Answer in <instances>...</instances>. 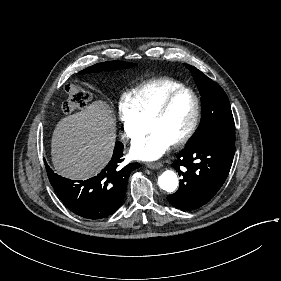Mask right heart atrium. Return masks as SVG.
<instances>
[{
    "label": "right heart atrium",
    "mask_w": 281,
    "mask_h": 281,
    "mask_svg": "<svg viewBox=\"0 0 281 281\" xmlns=\"http://www.w3.org/2000/svg\"><path fill=\"white\" fill-rule=\"evenodd\" d=\"M118 118L123 142L133 145L143 136L145 129L127 98H121L118 102Z\"/></svg>",
    "instance_id": "d8ad5b80"
}]
</instances>
